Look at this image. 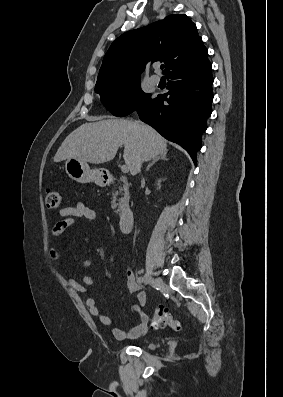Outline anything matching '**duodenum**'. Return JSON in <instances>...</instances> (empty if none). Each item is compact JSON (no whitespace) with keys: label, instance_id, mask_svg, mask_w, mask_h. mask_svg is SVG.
Wrapping results in <instances>:
<instances>
[{"label":"duodenum","instance_id":"1","mask_svg":"<svg viewBox=\"0 0 283 397\" xmlns=\"http://www.w3.org/2000/svg\"><path fill=\"white\" fill-rule=\"evenodd\" d=\"M134 213L129 207L122 209L119 215V228L122 233H129L133 227Z\"/></svg>","mask_w":283,"mask_h":397}]
</instances>
